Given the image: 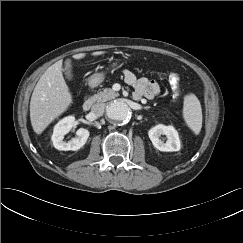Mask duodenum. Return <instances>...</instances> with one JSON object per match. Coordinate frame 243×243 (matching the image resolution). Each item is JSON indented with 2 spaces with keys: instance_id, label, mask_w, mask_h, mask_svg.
<instances>
[{
  "instance_id": "obj_1",
  "label": "duodenum",
  "mask_w": 243,
  "mask_h": 243,
  "mask_svg": "<svg viewBox=\"0 0 243 243\" xmlns=\"http://www.w3.org/2000/svg\"><path fill=\"white\" fill-rule=\"evenodd\" d=\"M93 103H94L93 97L91 95H87L83 100L82 108L85 111H88L92 107Z\"/></svg>"
}]
</instances>
